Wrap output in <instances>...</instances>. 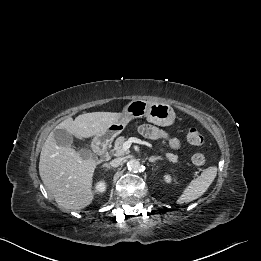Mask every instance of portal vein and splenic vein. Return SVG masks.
<instances>
[{
  "instance_id": "18ae733b",
  "label": "portal vein and splenic vein",
  "mask_w": 261,
  "mask_h": 261,
  "mask_svg": "<svg viewBox=\"0 0 261 261\" xmlns=\"http://www.w3.org/2000/svg\"><path fill=\"white\" fill-rule=\"evenodd\" d=\"M132 143L143 144V145H146V146L152 148V145L150 143L132 137V138H129L127 141H125L123 143V145H122V152L124 153L125 151H127L130 148ZM194 173H195V175L199 174L198 171H195Z\"/></svg>"
}]
</instances>
